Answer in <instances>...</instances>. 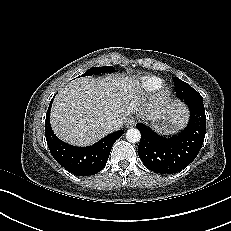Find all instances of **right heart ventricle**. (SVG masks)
<instances>
[{
    "mask_svg": "<svg viewBox=\"0 0 231 231\" xmlns=\"http://www.w3.org/2000/svg\"><path fill=\"white\" fill-rule=\"evenodd\" d=\"M129 84L137 94L148 96L157 92L163 85V81L156 76L146 75L129 80Z\"/></svg>",
    "mask_w": 231,
    "mask_h": 231,
    "instance_id": "1",
    "label": "right heart ventricle"
}]
</instances>
